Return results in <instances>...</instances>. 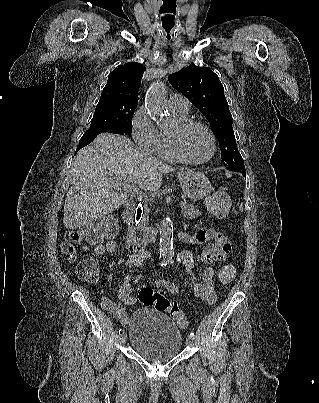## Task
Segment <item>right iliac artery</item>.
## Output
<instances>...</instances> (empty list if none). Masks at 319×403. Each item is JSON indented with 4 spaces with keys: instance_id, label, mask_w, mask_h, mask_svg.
Masks as SVG:
<instances>
[{
    "instance_id": "right-iliac-artery-1",
    "label": "right iliac artery",
    "mask_w": 319,
    "mask_h": 403,
    "mask_svg": "<svg viewBox=\"0 0 319 403\" xmlns=\"http://www.w3.org/2000/svg\"><path fill=\"white\" fill-rule=\"evenodd\" d=\"M164 266V264L162 263L161 264V267H163ZM142 276H138L137 278H136V280H135V282H138V280L141 278ZM124 332V330L123 329H119V334H121V333H123Z\"/></svg>"
}]
</instances>
